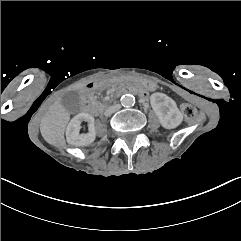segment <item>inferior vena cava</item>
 <instances>
[{
  "instance_id": "inferior-vena-cava-1",
  "label": "inferior vena cava",
  "mask_w": 241,
  "mask_h": 241,
  "mask_svg": "<svg viewBox=\"0 0 241 241\" xmlns=\"http://www.w3.org/2000/svg\"><path fill=\"white\" fill-rule=\"evenodd\" d=\"M120 109V105H113L107 108L104 112L105 116H110L112 113L116 112L117 110Z\"/></svg>"
}]
</instances>
